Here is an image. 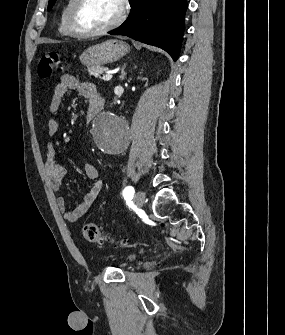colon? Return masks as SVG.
<instances>
[{"label":"colon","instance_id":"colon-1","mask_svg":"<svg viewBox=\"0 0 285 335\" xmlns=\"http://www.w3.org/2000/svg\"><path fill=\"white\" fill-rule=\"evenodd\" d=\"M59 63L60 56L58 53L48 52L43 54L38 63L39 77L43 80L49 79ZM83 235L86 240L94 243L111 242L117 247L126 244L125 241L114 242V240L110 238L109 235L104 233L101 227L94 223H87L83 226Z\"/></svg>","mask_w":285,"mask_h":335}]
</instances>
